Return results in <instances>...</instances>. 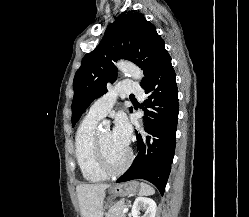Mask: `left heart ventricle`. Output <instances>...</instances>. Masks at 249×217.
Wrapping results in <instances>:
<instances>
[{
  "instance_id": "1",
  "label": "left heart ventricle",
  "mask_w": 249,
  "mask_h": 217,
  "mask_svg": "<svg viewBox=\"0 0 249 217\" xmlns=\"http://www.w3.org/2000/svg\"><path fill=\"white\" fill-rule=\"evenodd\" d=\"M100 139L104 147L105 153L113 166H119L125 159L126 148L117 146L112 138L109 130L100 132Z\"/></svg>"
}]
</instances>
